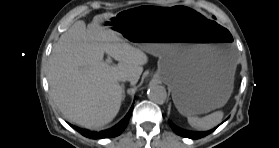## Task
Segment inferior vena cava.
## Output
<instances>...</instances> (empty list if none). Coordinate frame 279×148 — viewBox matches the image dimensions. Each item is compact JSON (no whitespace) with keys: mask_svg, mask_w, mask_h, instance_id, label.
<instances>
[{"mask_svg":"<svg viewBox=\"0 0 279 148\" xmlns=\"http://www.w3.org/2000/svg\"><path fill=\"white\" fill-rule=\"evenodd\" d=\"M129 79H128V77H126V76H121V77H119V81H128Z\"/></svg>","mask_w":279,"mask_h":148,"instance_id":"1","label":"inferior vena cava"}]
</instances>
